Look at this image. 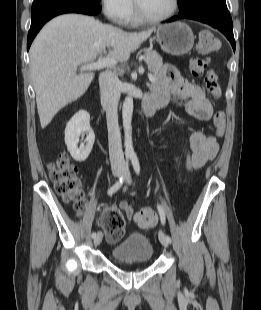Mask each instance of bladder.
Masks as SVG:
<instances>
[{
  "instance_id": "bladder-1",
  "label": "bladder",
  "mask_w": 261,
  "mask_h": 310,
  "mask_svg": "<svg viewBox=\"0 0 261 310\" xmlns=\"http://www.w3.org/2000/svg\"><path fill=\"white\" fill-rule=\"evenodd\" d=\"M154 250L149 238L141 232H132L111 249V256L120 262H148Z\"/></svg>"
}]
</instances>
